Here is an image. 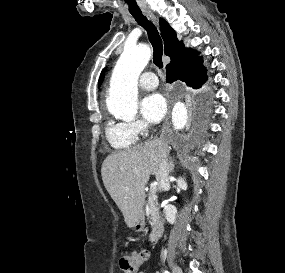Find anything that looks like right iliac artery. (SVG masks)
Masks as SVG:
<instances>
[{
    "label": "right iliac artery",
    "instance_id": "right-iliac-artery-1",
    "mask_svg": "<svg viewBox=\"0 0 285 273\" xmlns=\"http://www.w3.org/2000/svg\"><path fill=\"white\" fill-rule=\"evenodd\" d=\"M164 273H169L168 271H165Z\"/></svg>",
    "mask_w": 285,
    "mask_h": 273
}]
</instances>
